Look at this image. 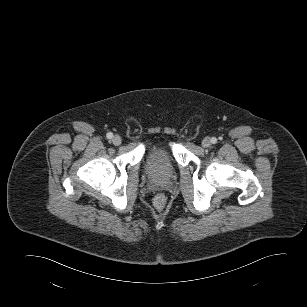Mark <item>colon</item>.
Segmentation results:
<instances>
[{
    "instance_id": "colon-1",
    "label": "colon",
    "mask_w": 307,
    "mask_h": 307,
    "mask_svg": "<svg viewBox=\"0 0 307 307\" xmlns=\"http://www.w3.org/2000/svg\"><path fill=\"white\" fill-rule=\"evenodd\" d=\"M165 196L163 194H158L155 199H154V203L158 208H161L164 206L165 204Z\"/></svg>"
}]
</instances>
